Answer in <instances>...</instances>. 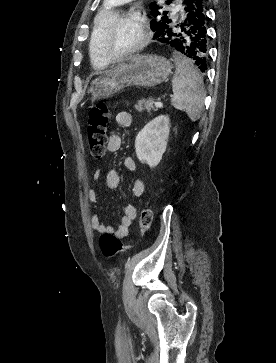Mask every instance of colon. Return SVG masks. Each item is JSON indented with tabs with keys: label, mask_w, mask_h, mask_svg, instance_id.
Masks as SVG:
<instances>
[{
	"label": "colon",
	"mask_w": 276,
	"mask_h": 363,
	"mask_svg": "<svg viewBox=\"0 0 276 363\" xmlns=\"http://www.w3.org/2000/svg\"><path fill=\"white\" fill-rule=\"evenodd\" d=\"M110 117V111L103 102L98 103L89 111L87 121L88 144L91 155L96 159H101L105 155ZM152 220L153 211L148 204H145L140 210V225L144 234L149 232ZM100 248L106 257H111L124 250L120 239L109 233L100 237Z\"/></svg>",
	"instance_id": "5ec220e1"
}]
</instances>
